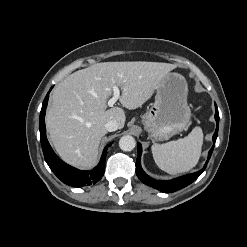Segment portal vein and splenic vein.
I'll return each instance as SVG.
<instances>
[{"label":"portal vein and splenic vein","mask_w":247,"mask_h":247,"mask_svg":"<svg viewBox=\"0 0 247 247\" xmlns=\"http://www.w3.org/2000/svg\"><path fill=\"white\" fill-rule=\"evenodd\" d=\"M113 90V97L109 99L108 106L113 107V105L117 102V100L120 98V90L117 86L112 87Z\"/></svg>","instance_id":"obj_1"}]
</instances>
